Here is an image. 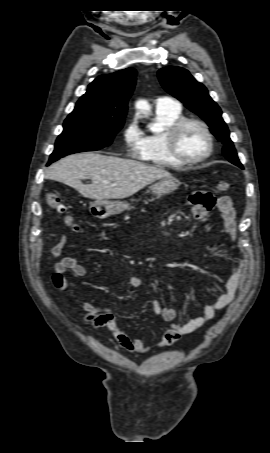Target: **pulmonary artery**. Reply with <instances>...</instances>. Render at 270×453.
<instances>
[{"mask_svg":"<svg viewBox=\"0 0 270 453\" xmlns=\"http://www.w3.org/2000/svg\"><path fill=\"white\" fill-rule=\"evenodd\" d=\"M155 105L156 110L176 109L180 107L178 102L169 97H159L156 100Z\"/></svg>","mask_w":270,"mask_h":453,"instance_id":"e3ab8cb5","label":"pulmonary artery"}]
</instances>
